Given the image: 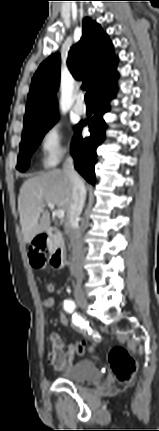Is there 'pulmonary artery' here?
<instances>
[{
	"label": "pulmonary artery",
	"mask_w": 159,
	"mask_h": 431,
	"mask_svg": "<svg viewBox=\"0 0 159 431\" xmlns=\"http://www.w3.org/2000/svg\"><path fill=\"white\" fill-rule=\"evenodd\" d=\"M83 99V95H78L76 98V102L73 106L74 112L79 115H83L86 113V106L83 104Z\"/></svg>",
	"instance_id": "e3ab8cb5"
}]
</instances>
